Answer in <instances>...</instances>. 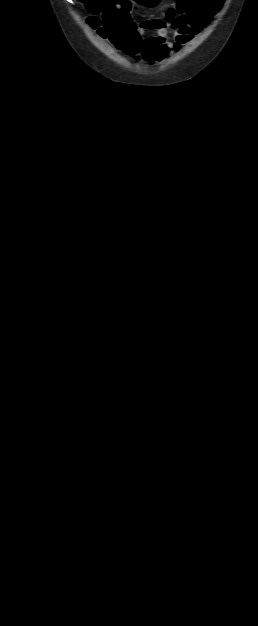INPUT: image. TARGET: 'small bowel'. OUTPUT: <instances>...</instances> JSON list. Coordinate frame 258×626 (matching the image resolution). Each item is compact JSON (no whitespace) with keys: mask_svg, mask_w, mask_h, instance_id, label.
<instances>
[{"mask_svg":"<svg viewBox=\"0 0 258 626\" xmlns=\"http://www.w3.org/2000/svg\"><path fill=\"white\" fill-rule=\"evenodd\" d=\"M223 3L224 0H177L161 17L147 19L136 28L121 0H107L102 10V27L97 17H91L89 24L124 53L142 56L149 63L160 62L202 31ZM148 31L154 35L145 36Z\"/></svg>","mask_w":258,"mask_h":626,"instance_id":"obj_1","label":"small bowel"}]
</instances>
